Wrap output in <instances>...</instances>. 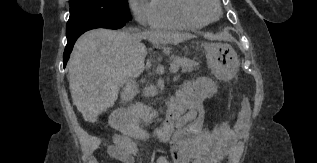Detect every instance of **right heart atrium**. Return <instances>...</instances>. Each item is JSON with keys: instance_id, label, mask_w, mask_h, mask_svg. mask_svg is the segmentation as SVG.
Wrapping results in <instances>:
<instances>
[{"instance_id": "right-heart-atrium-1", "label": "right heart atrium", "mask_w": 317, "mask_h": 163, "mask_svg": "<svg viewBox=\"0 0 317 163\" xmlns=\"http://www.w3.org/2000/svg\"><path fill=\"white\" fill-rule=\"evenodd\" d=\"M135 20L143 26H151L154 17L153 0H127Z\"/></svg>"}]
</instances>
